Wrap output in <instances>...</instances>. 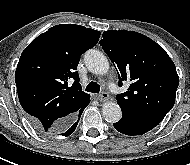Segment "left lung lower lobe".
<instances>
[{
    "instance_id": "1",
    "label": "left lung lower lobe",
    "mask_w": 190,
    "mask_h": 165,
    "mask_svg": "<svg viewBox=\"0 0 190 165\" xmlns=\"http://www.w3.org/2000/svg\"><path fill=\"white\" fill-rule=\"evenodd\" d=\"M162 118L139 115L122 111V118L114 123V128L125 135H141L156 127Z\"/></svg>"
}]
</instances>
